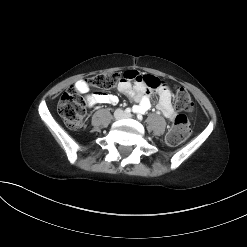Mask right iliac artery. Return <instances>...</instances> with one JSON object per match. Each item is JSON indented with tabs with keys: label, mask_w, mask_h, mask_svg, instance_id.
I'll return each instance as SVG.
<instances>
[{
	"label": "right iliac artery",
	"mask_w": 247,
	"mask_h": 247,
	"mask_svg": "<svg viewBox=\"0 0 247 247\" xmlns=\"http://www.w3.org/2000/svg\"><path fill=\"white\" fill-rule=\"evenodd\" d=\"M130 112H131V108H126L125 109V113L130 114Z\"/></svg>",
	"instance_id": "82829eb1"
}]
</instances>
